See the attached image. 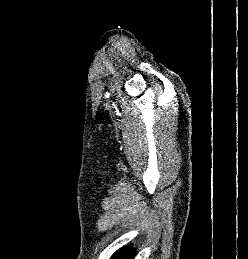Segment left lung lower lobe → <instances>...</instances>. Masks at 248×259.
Listing matches in <instances>:
<instances>
[{"label":"left lung lower lobe","instance_id":"0a47b994","mask_svg":"<svg viewBox=\"0 0 248 259\" xmlns=\"http://www.w3.org/2000/svg\"><path fill=\"white\" fill-rule=\"evenodd\" d=\"M134 256L135 250L128 246L116 251L111 259H133Z\"/></svg>","mask_w":248,"mask_h":259}]
</instances>
